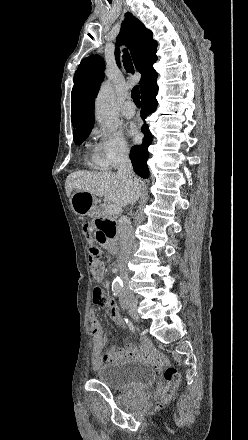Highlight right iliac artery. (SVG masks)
<instances>
[{
    "label": "right iliac artery",
    "mask_w": 248,
    "mask_h": 440,
    "mask_svg": "<svg viewBox=\"0 0 248 440\" xmlns=\"http://www.w3.org/2000/svg\"><path fill=\"white\" fill-rule=\"evenodd\" d=\"M114 296H118L121 292V288L116 286L112 289Z\"/></svg>",
    "instance_id": "82829eb1"
}]
</instances>
